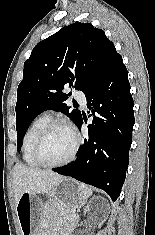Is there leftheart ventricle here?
<instances>
[{"mask_svg":"<svg viewBox=\"0 0 155 235\" xmlns=\"http://www.w3.org/2000/svg\"><path fill=\"white\" fill-rule=\"evenodd\" d=\"M73 144V136L67 129L54 128L42 145L41 156L51 163L62 161L70 154Z\"/></svg>","mask_w":155,"mask_h":235,"instance_id":"b2bd125f","label":"left heart ventricle"}]
</instances>
